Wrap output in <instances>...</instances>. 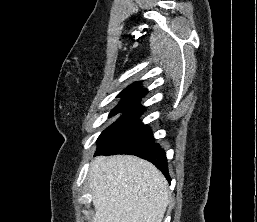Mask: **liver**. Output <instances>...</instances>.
I'll return each mask as SVG.
<instances>
[{
	"label": "liver",
	"instance_id": "6515ba94",
	"mask_svg": "<svg viewBox=\"0 0 257 222\" xmlns=\"http://www.w3.org/2000/svg\"><path fill=\"white\" fill-rule=\"evenodd\" d=\"M92 222H162L168 185L150 162L132 155L98 156L91 164Z\"/></svg>",
	"mask_w": 257,
	"mask_h": 222
}]
</instances>
